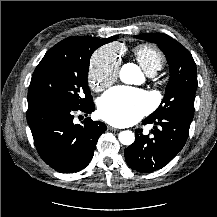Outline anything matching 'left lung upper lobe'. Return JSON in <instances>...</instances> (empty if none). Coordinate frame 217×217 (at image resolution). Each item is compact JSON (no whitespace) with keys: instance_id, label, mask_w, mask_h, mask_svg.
<instances>
[{"instance_id":"5c2ea615","label":"left lung upper lobe","mask_w":217,"mask_h":217,"mask_svg":"<svg viewBox=\"0 0 217 217\" xmlns=\"http://www.w3.org/2000/svg\"><path fill=\"white\" fill-rule=\"evenodd\" d=\"M134 37L157 44L166 55L170 68V79L163 101L149 117L156 119L177 114L192 119L197 89V70L191 53L166 34L145 33Z\"/></svg>"}]
</instances>
